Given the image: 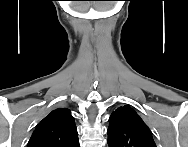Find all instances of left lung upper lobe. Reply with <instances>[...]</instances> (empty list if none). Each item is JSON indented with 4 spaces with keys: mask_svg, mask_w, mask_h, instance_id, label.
I'll use <instances>...</instances> for the list:
<instances>
[{
    "mask_svg": "<svg viewBox=\"0 0 188 147\" xmlns=\"http://www.w3.org/2000/svg\"><path fill=\"white\" fill-rule=\"evenodd\" d=\"M107 133L110 146L156 147L150 129L129 106H122L113 111Z\"/></svg>",
    "mask_w": 188,
    "mask_h": 147,
    "instance_id": "5c2ea615",
    "label": "left lung upper lobe"
}]
</instances>
